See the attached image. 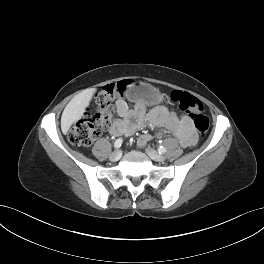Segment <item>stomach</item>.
Wrapping results in <instances>:
<instances>
[{
  "label": "stomach",
  "instance_id": "stomach-1",
  "mask_svg": "<svg viewBox=\"0 0 264 264\" xmlns=\"http://www.w3.org/2000/svg\"><path fill=\"white\" fill-rule=\"evenodd\" d=\"M134 101H141L146 105H155L163 101L160 91L150 84L144 82L136 83L128 94Z\"/></svg>",
  "mask_w": 264,
  "mask_h": 264
}]
</instances>
